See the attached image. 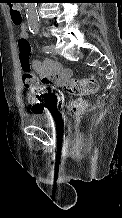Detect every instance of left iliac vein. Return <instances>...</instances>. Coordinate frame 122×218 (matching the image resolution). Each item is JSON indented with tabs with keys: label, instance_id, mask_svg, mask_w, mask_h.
Segmentation results:
<instances>
[{
	"label": "left iliac vein",
	"instance_id": "4c4485c4",
	"mask_svg": "<svg viewBox=\"0 0 122 218\" xmlns=\"http://www.w3.org/2000/svg\"><path fill=\"white\" fill-rule=\"evenodd\" d=\"M50 48H51V53H52L53 55H56V54H57V51H56V49H55V45H54V44H51V45H50Z\"/></svg>",
	"mask_w": 122,
	"mask_h": 218
}]
</instances>
